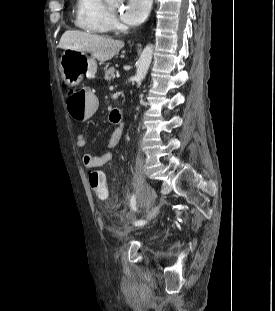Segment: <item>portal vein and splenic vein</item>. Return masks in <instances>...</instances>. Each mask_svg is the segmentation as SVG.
<instances>
[{
    "label": "portal vein and splenic vein",
    "mask_w": 275,
    "mask_h": 311,
    "mask_svg": "<svg viewBox=\"0 0 275 311\" xmlns=\"http://www.w3.org/2000/svg\"><path fill=\"white\" fill-rule=\"evenodd\" d=\"M116 77L119 78V77H120V74H117Z\"/></svg>",
    "instance_id": "portal-vein-and-splenic-vein-1"
}]
</instances>
